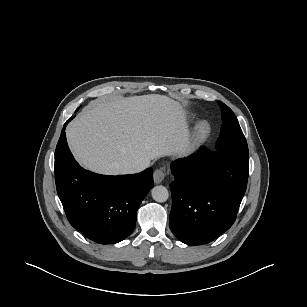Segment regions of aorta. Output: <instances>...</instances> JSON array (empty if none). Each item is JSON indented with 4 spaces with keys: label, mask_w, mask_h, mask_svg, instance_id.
<instances>
[{
    "label": "aorta",
    "mask_w": 307,
    "mask_h": 307,
    "mask_svg": "<svg viewBox=\"0 0 307 307\" xmlns=\"http://www.w3.org/2000/svg\"><path fill=\"white\" fill-rule=\"evenodd\" d=\"M152 198L157 202H165L169 198V192L166 187L158 185L151 190Z\"/></svg>",
    "instance_id": "obj_1"
}]
</instances>
